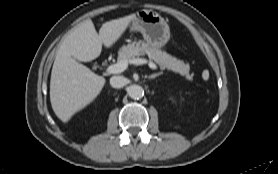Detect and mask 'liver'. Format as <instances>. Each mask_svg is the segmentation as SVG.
<instances>
[{"label": "liver", "instance_id": "obj_1", "mask_svg": "<svg viewBox=\"0 0 278 174\" xmlns=\"http://www.w3.org/2000/svg\"><path fill=\"white\" fill-rule=\"evenodd\" d=\"M135 14L105 22L99 34L92 20L75 27L62 42L52 67L50 102L56 116L63 122L101 92L105 78L92 72L76 60L89 62L101 54L102 46L111 47L126 31Z\"/></svg>", "mask_w": 278, "mask_h": 174}]
</instances>
